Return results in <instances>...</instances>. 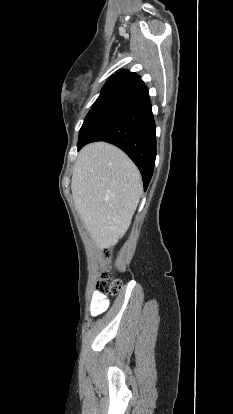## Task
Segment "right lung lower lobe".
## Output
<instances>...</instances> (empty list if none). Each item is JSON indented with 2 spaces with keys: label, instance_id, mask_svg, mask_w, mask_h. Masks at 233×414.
Instances as JSON below:
<instances>
[{
  "label": "right lung lower lobe",
  "instance_id": "right-lung-lower-lobe-1",
  "mask_svg": "<svg viewBox=\"0 0 233 414\" xmlns=\"http://www.w3.org/2000/svg\"><path fill=\"white\" fill-rule=\"evenodd\" d=\"M151 107L147 87L137 80L89 111L79 132L78 150L94 141L114 144L137 165L146 190L156 158V126Z\"/></svg>",
  "mask_w": 233,
  "mask_h": 414
}]
</instances>
